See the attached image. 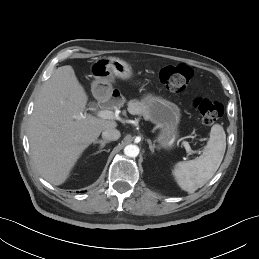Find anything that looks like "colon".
I'll return each instance as SVG.
<instances>
[{
	"mask_svg": "<svg viewBox=\"0 0 259 259\" xmlns=\"http://www.w3.org/2000/svg\"><path fill=\"white\" fill-rule=\"evenodd\" d=\"M160 81L166 89L172 93H182L186 90L193 77L192 69L187 65L165 66L161 69ZM201 120L205 125L214 124L224 112L221 103L205 98H198L194 101Z\"/></svg>",
	"mask_w": 259,
	"mask_h": 259,
	"instance_id": "colon-1",
	"label": "colon"
}]
</instances>
